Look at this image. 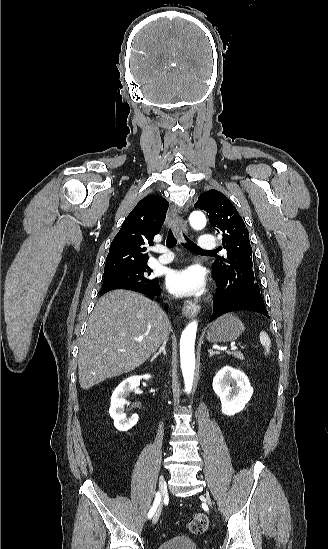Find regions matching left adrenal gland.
I'll use <instances>...</instances> for the list:
<instances>
[{
  "label": "left adrenal gland",
  "instance_id": "left-adrenal-gland-1",
  "mask_svg": "<svg viewBox=\"0 0 328 549\" xmlns=\"http://www.w3.org/2000/svg\"><path fill=\"white\" fill-rule=\"evenodd\" d=\"M208 353H209L210 357H212V355H216V353H218V351H213V349H208Z\"/></svg>",
  "mask_w": 328,
  "mask_h": 549
}]
</instances>
